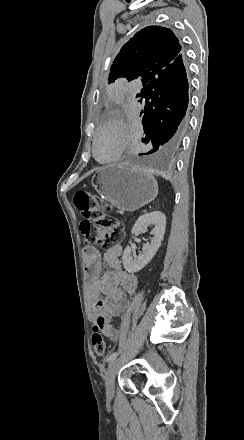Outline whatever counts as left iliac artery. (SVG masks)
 Instances as JSON below:
<instances>
[{"label":"left iliac artery","mask_w":244,"mask_h":440,"mask_svg":"<svg viewBox=\"0 0 244 440\" xmlns=\"http://www.w3.org/2000/svg\"><path fill=\"white\" fill-rule=\"evenodd\" d=\"M119 352H113L112 354H110V356L107 358V362H111L113 361L117 356H118Z\"/></svg>","instance_id":"1"}]
</instances>
